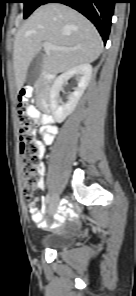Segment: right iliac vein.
Segmentation results:
<instances>
[{"label": "right iliac vein", "mask_w": 136, "mask_h": 296, "mask_svg": "<svg viewBox=\"0 0 136 296\" xmlns=\"http://www.w3.org/2000/svg\"><path fill=\"white\" fill-rule=\"evenodd\" d=\"M52 197H53V202L50 203V205H49L50 215H53L55 213L57 205H58V196L53 195Z\"/></svg>", "instance_id": "obj_1"}]
</instances>
